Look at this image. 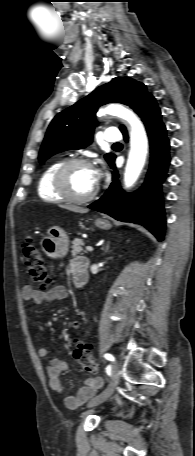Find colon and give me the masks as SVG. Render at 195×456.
Instances as JSON below:
<instances>
[{"mask_svg":"<svg viewBox=\"0 0 195 456\" xmlns=\"http://www.w3.org/2000/svg\"><path fill=\"white\" fill-rule=\"evenodd\" d=\"M22 250L32 280L40 286L41 290H46L50 284V279L42 254L30 240L25 241ZM73 356L83 371L91 374L96 373L97 365L93 358L92 346L83 338L76 339Z\"/></svg>","mask_w":195,"mask_h":456,"instance_id":"5ec220e1","label":"colon"}]
</instances>
